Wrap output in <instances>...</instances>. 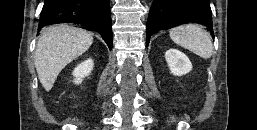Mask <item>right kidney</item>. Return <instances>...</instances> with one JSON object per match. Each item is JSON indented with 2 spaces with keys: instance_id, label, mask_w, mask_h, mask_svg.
I'll use <instances>...</instances> for the list:
<instances>
[{
  "instance_id": "obj_1",
  "label": "right kidney",
  "mask_w": 257,
  "mask_h": 130,
  "mask_svg": "<svg viewBox=\"0 0 257 130\" xmlns=\"http://www.w3.org/2000/svg\"><path fill=\"white\" fill-rule=\"evenodd\" d=\"M93 60L87 59L81 64H79L73 71V76L75 77L74 83L80 84L84 77L88 76L93 69Z\"/></svg>"
}]
</instances>
